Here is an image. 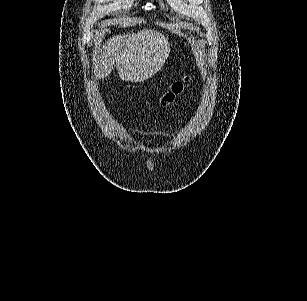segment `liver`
I'll return each mask as SVG.
<instances>
[{"label":"liver","mask_w":307,"mask_h":301,"mask_svg":"<svg viewBox=\"0 0 307 301\" xmlns=\"http://www.w3.org/2000/svg\"><path fill=\"white\" fill-rule=\"evenodd\" d=\"M162 32L142 28L138 32H127L110 36L102 44L100 54H94L95 78H104L114 66L122 80L141 82L161 70L169 56L170 44Z\"/></svg>","instance_id":"liver-1"}]
</instances>
